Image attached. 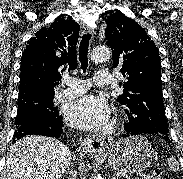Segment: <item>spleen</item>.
Wrapping results in <instances>:
<instances>
[{
    "instance_id": "1",
    "label": "spleen",
    "mask_w": 183,
    "mask_h": 179,
    "mask_svg": "<svg viewBox=\"0 0 183 179\" xmlns=\"http://www.w3.org/2000/svg\"><path fill=\"white\" fill-rule=\"evenodd\" d=\"M168 165H169V168L173 171L179 170V163L177 162L176 158H174V157H169Z\"/></svg>"
}]
</instances>
